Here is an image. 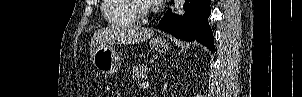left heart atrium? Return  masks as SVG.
Wrapping results in <instances>:
<instances>
[{
    "label": "left heart atrium",
    "mask_w": 302,
    "mask_h": 97,
    "mask_svg": "<svg viewBox=\"0 0 302 97\" xmlns=\"http://www.w3.org/2000/svg\"><path fill=\"white\" fill-rule=\"evenodd\" d=\"M149 4H153V5H155V4H158V3H160L162 0H146Z\"/></svg>",
    "instance_id": "left-heart-atrium-1"
}]
</instances>
